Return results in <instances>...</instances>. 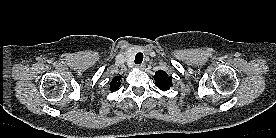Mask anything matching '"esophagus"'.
Segmentation results:
<instances>
[{
	"label": "esophagus",
	"mask_w": 276,
	"mask_h": 138,
	"mask_svg": "<svg viewBox=\"0 0 276 138\" xmlns=\"http://www.w3.org/2000/svg\"><path fill=\"white\" fill-rule=\"evenodd\" d=\"M137 67H138L139 69H145L146 64H145V63H141V64L137 65Z\"/></svg>",
	"instance_id": "34e87169"
}]
</instances>
